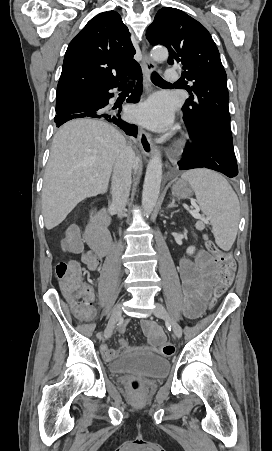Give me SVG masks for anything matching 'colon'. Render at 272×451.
<instances>
[{
    "label": "colon",
    "mask_w": 272,
    "mask_h": 451,
    "mask_svg": "<svg viewBox=\"0 0 272 451\" xmlns=\"http://www.w3.org/2000/svg\"><path fill=\"white\" fill-rule=\"evenodd\" d=\"M62 249L65 256H79L82 246L79 230H65L62 236ZM208 249L217 261V267L212 272V285L214 296H220L233 282L236 264L233 255L228 251H222L215 244H209ZM79 265L77 258L63 261L56 265L55 272L58 277L60 289H66L65 295L68 303H72L73 310H86L87 305L92 303L93 294L88 288H83L80 280V270L75 269ZM162 354H173L174 346L164 343L161 347ZM134 389L140 387V381H131Z\"/></svg>",
    "instance_id": "colon-1"
}]
</instances>
